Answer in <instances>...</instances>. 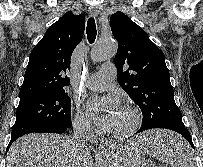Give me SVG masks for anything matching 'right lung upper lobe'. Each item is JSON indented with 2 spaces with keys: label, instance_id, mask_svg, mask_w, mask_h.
<instances>
[{
  "label": "right lung upper lobe",
  "instance_id": "1",
  "mask_svg": "<svg viewBox=\"0 0 203 167\" xmlns=\"http://www.w3.org/2000/svg\"><path fill=\"white\" fill-rule=\"evenodd\" d=\"M84 27L85 16L74 15L69 11L48 28L30 54L19 93L20 101L65 91L69 86L67 73L71 55L82 40Z\"/></svg>",
  "mask_w": 203,
  "mask_h": 167
}]
</instances>
